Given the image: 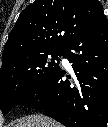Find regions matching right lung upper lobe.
Returning <instances> with one entry per match:
<instances>
[{"instance_id":"right-lung-upper-lobe-1","label":"right lung upper lobe","mask_w":108,"mask_h":127,"mask_svg":"<svg viewBox=\"0 0 108 127\" xmlns=\"http://www.w3.org/2000/svg\"><path fill=\"white\" fill-rule=\"evenodd\" d=\"M105 18L98 0H35L21 12L10 32L2 65L21 55L64 50Z\"/></svg>"}]
</instances>
